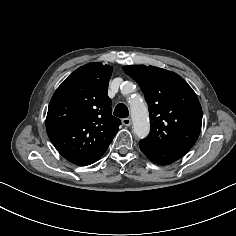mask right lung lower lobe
Returning a JSON list of instances; mask_svg holds the SVG:
<instances>
[{
	"label": "right lung lower lobe",
	"mask_w": 236,
	"mask_h": 236,
	"mask_svg": "<svg viewBox=\"0 0 236 236\" xmlns=\"http://www.w3.org/2000/svg\"><path fill=\"white\" fill-rule=\"evenodd\" d=\"M65 159L77 165H89L98 160V158L97 159H81V158H75V157H66Z\"/></svg>",
	"instance_id": "98d812e1"
}]
</instances>
